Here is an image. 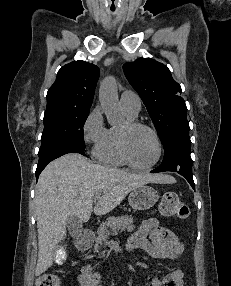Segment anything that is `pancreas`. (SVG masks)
Segmentation results:
<instances>
[{
	"label": "pancreas",
	"instance_id": "obj_1",
	"mask_svg": "<svg viewBox=\"0 0 231 286\" xmlns=\"http://www.w3.org/2000/svg\"><path fill=\"white\" fill-rule=\"evenodd\" d=\"M135 228L131 216L123 215L119 217H109L97 229L98 236L95 238L94 250L99 251L100 245L107 243V239L110 235L117 234L125 229L133 231Z\"/></svg>",
	"mask_w": 231,
	"mask_h": 286
}]
</instances>
